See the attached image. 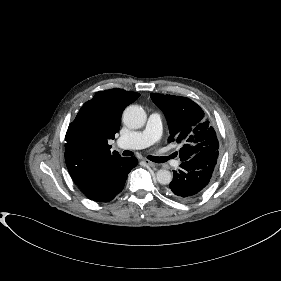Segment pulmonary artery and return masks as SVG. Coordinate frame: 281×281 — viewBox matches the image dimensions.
I'll return each mask as SVG.
<instances>
[{
	"instance_id": "obj_1",
	"label": "pulmonary artery",
	"mask_w": 281,
	"mask_h": 281,
	"mask_svg": "<svg viewBox=\"0 0 281 281\" xmlns=\"http://www.w3.org/2000/svg\"><path fill=\"white\" fill-rule=\"evenodd\" d=\"M162 135V118L160 113L152 112L149 115L146 126L141 131L130 132L119 137L117 143L120 147L128 149L145 148Z\"/></svg>"
}]
</instances>
